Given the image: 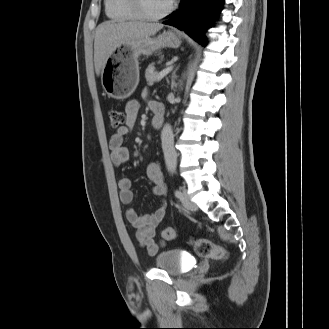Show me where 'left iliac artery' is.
Here are the masks:
<instances>
[{
  "mask_svg": "<svg viewBox=\"0 0 329 329\" xmlns=\"http://www.w3.org/2000/svg\"><path fill=\"white\" fill-rule=\"evenodd\" d=\"M175 196L178 197V198H181L182 197V192L180 190H176L175 191Z\"/></svg>",
  "mask_w": 329,
  "mask_h": 329,
  "instance_id": "obj_1",
  "label": "left iliac artery"
}]
</instances>
